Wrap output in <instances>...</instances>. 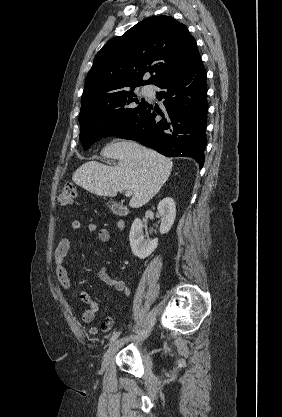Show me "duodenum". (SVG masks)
<instances>
[{"instance_id":"1","label":"duodenum","mask_w":282,"mask_h":417,"mask_svg":"<svg viewBox=\"0 0 282 417\" xmlns=\"http://www.w3.org/2000/svg\"><path fill=\"white\" fill-rule=\"evenodd\" d=\"M119 229L123 230L125 228V224L123 221H120L118 224Z\"/></svg>"}]
</instances>
